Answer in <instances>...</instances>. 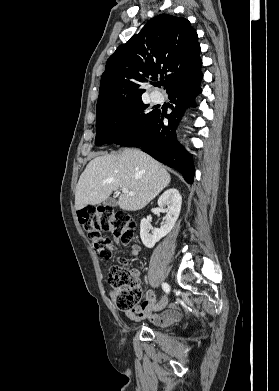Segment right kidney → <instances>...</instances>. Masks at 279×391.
<instances>
[{
    "mask_svg": "<svg viewBox=\"0 0 279 391\" xmlns=\"http://www.w3.org/2000/svg\"><path fill=\"white\" fill-rule=\"evenodd\" d=\"M182 196L175 188L166 190L158 199V206L166 212L165 221L160 228H153L148 219L140 223V237L147 248L154 245L166 236L174 227L181 210ZM151 231V232H150Z\"/></svg>",
    "mask_w": 279,
    "mask_h": 391,
    "instance_id": "right-kidney-1",
    "label": "right kidney"
}]
</instances>
